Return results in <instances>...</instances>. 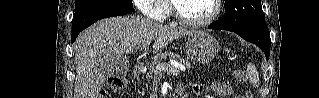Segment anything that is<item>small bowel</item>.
Instances as JSON below:
<instances>
[{
	"label": "small bowel",
	"mask_w": 319,
	"mask_h": 98,
	"mask_svg": "<svg viewBox=\"0 0 319 98\" xmlns=\"http://www.w3.org/2000/svg\"><path fill=\"white\" fill-rule=\"evenodd\" d=\"M182 86H178L177 89H179ZM211 91L216 94L219 97H229L233 93V89L230 85L220 82V81H215L211 84L210 86ZM193 90L197 96L200 97V95L203 92V87L198 84L193 85Z\"/></svg>",
	"instance_id": "c3829d8e"
}]
</instances>
